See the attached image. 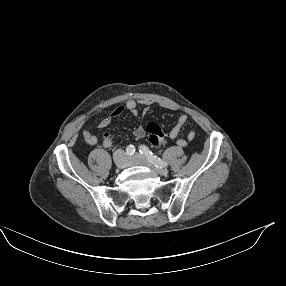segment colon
I'll return each mask as SVG.
<instances>
[{
	"mask_svg": "<svg viewBox=\"0 0 286 286\" xmlns=\"http://www.w3.org/2000/svg\"><path fill=\"white\" fill-rule=\"evenodd\" d=\"M146 136L154 144L163 142L167 136L165 127L159 123L150 121L146 125ZM103 140H112L110 134H105Z\"/></svg>",
	"mask_w": 286,
	"mask_h": 286,
	"instance_id": "5ec220e1",
	"label": "colon"
}]
</instances>
